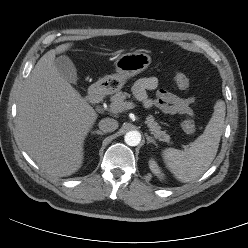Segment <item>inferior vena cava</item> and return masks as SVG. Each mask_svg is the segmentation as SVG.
I'll list each match as a JSON object with an SVG mask.
<instances>
[{
	"label": "inferior vena cava",
	"instance_id": "obj_1",
	"mask_svg": "<svg viewBox=\"0 0 248 248\" xmlns=\"http://www.w3.org/2000/svg\"><path fill=\"white\" fill-rule=\"evenodd\" d=\"M99 128L103 132H113L118 128V122L112 118H104L99 122Z\"/></svg>",
	"mask_w": 248,
	"mask_h": 248
}]
</instances>
